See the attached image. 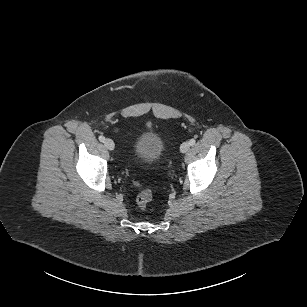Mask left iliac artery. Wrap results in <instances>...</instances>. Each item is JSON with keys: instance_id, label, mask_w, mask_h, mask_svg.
I'll return each mask as SVG.
<instances>
[{"instance_id": "left-iliac-artery-1", "label": "left iliac artery", "mask_w": 307, "mask_h": 307, "mask_svg": "<svg viewBox=\"0 0 307 307\" xmlns=\"http://www.w3.org/2000/svg\"><path fill=\"white\" fill-rule=\"evenodd\" d=\"M189 144H190L191 146H193V145L195 144V139H190V140H189Z\"/></svg>"}]
</instances>
